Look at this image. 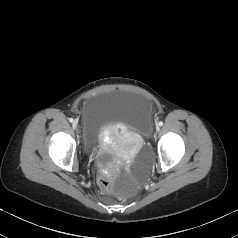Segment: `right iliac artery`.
I'll list each match as a JSON object with an SVG mask.
<instances>
[{
  "mask_svg": "<svg viewBox=\"0 0 238 238\" xmlns=\"http://www.w3.org/2000/svg\"><path fill=\"white\" fill-rule=\"evenodd\" d=\"M69 121H70V122H73V118H70Z\"/></svg>",
  "mask_w": 238,
  "mask_h": 238,
  "instance_id": "82829eb1",
  "label": "right iliac artery"
}]
</instances>
